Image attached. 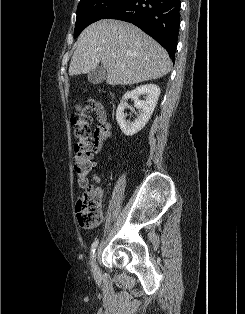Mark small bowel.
Listing matches in <instances>:
<instances>
[{
    "instance_id": "obj_1",
    "label": "small bowel",
    "mask_w": 245,
    "mask_h": 314,
    "mask_svg": "<svg viewBox=\"0 0 245 314\" xmlns=\"http://www.w3.org/2000/svg\"><path fill=\"white\" fill-rule=\"evenodd\" d=\"M93 111L98 121L93 135L94 152L98 153L102 149L104 143L111 137L112 126L107 120V114L101 103L94 101Z\"/></svg>"
}]
</instances>
